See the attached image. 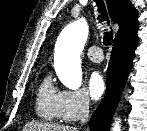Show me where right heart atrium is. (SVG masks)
Listing matches in <instances>:
<instances>
[{
  "instance_id": "1",
  "label": "right heart atrium",
  "mask_w": 147,
  "mask_h": 131,
  "mask_svg": "<svg viewBox=\"0 0 147 131\" xmlns=\"http://www.w3.org/2000/svg\"><path fill=\"white\" fill-rule=\"evenodd\" d=\"M90 108V99L83 89L62 90L57 103L58 119L74 122L86 115Z\"/></svg>"
}]
</instances>
